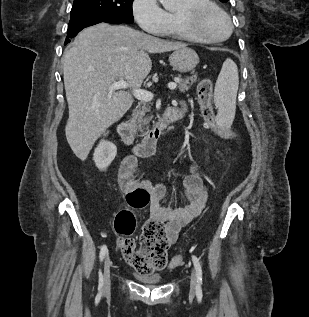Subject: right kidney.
<instances>
[{
    "label": "right kidney",
    "instance_id": "right-kidney-1",
    "mask_svg": "<svg viewBox=\"0 0 309 317\" xmlns=\"http://www.w3.org/2000/svg\"><path fill=\"white\" fill-rule=\"evenodd\" d=\"M116 154L117 147L115 144L104 139L101 140L93 154V160L96 167L101 171L106 170L114 160Z\"/></svg>",
    "mask_w": 309,
    "mask_h": 317
}]
</instances>
